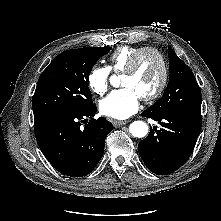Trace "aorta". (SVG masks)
<instances>
[{
	"instance_id": "aorta-1",
	"label": "aorta",
	"mask_w": 221,
	"mask_h": 221,
	"mask_svg": "<svg viewBox=\"0 0 221 221\" xmlns=\"http://www.w3.org/2000/svg\"><path fill=\"white\" fill-rule=\"evenodd\" d=\"M118 80L117 76H112L110 82L115 85ZM148 125L143 121H134L129 126V131L134 137L142 138L148 133Z\"/></svg>"
}]
</instances>
